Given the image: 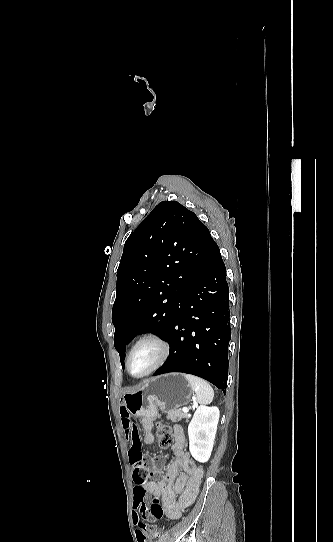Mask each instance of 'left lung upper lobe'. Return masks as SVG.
I'll return each instance as SVG.
<instances>
[{
	"label": "left lung upper lobe",
	"mask_w": 333,
	"mask_h": 542,
	"mask_svg": "<svg viewBox=\"0 0 333 542\" xmlns=\"http://www.w3.org/2000/svg\"><path fill=\"white\" fill-rule=\"evenodd\" d=\"M213 242L195 213L177 201L160 202L129 236L112 310L114 345L123 367L126 345L136 335L168 336Z\"/></svg>",
	"instance_id": "left-lung-upper-lobe-1"
}]
</instances>
